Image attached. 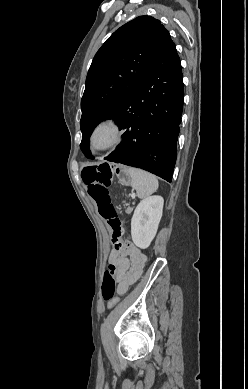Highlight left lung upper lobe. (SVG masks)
I'll return each instance as SVG.
<instances>
[{
    "mask_svg": "<svg viewBox=\"0 0 248 389\" xmlns=\"http://www.w3.org/2000/svg\"><path fill=\"white\" fill-rule=\"evenodd\" d=\"M172 44L159 20L140 16L116 30L98 50L81 99L80 148L87 158H93L89 144L94 128L116 114Z\"/></svg>",
    "mask_w": 248,
    "mask_h": 389,
    "instance_id": "1",
    "label": "left lung upper lobe"
}]
</instances>
